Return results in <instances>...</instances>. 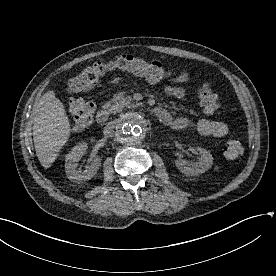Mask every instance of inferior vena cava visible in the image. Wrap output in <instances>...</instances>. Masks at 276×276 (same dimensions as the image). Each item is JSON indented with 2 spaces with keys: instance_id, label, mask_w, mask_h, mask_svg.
Here are the masks:
<instances>
[{
  "instance_id": "obj_1",
  "label": "inferior vena cava",
  "mask_w": 276,
  "mask_h": 276,
  "mask_svg": "<svg viewBox=\"0 0 276 276\" xmlns=\"http://www.w3.org/2000/svg\"><path fill=\"white\" fill-rule=\"evenodd\" d=\"M115 127V122H109L104 128V135L111 136Z\"/></svg>"
}]
</instances>
